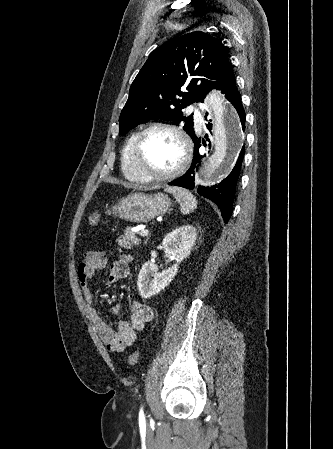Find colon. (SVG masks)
Segmentation results:
<instances>
[{
	"label": "colon",
	"instance_id": "5ec220e1",
	"mask_svg": "<svg viewBox=\"0 0 333 449\" xmlns=\"http://www.w3.org/2000/svg\"><path fill=\"white\" fill-rule=\"evenodd\" d=\"M100 221V214L99 213H93L89 216L88 218V224L90 226H96ZM140 354L138 351H133L132 353H130V355L128 356V364L131 366H134L137 364L138 360H139Z\"/></svg>",
	"mask_w": 333,
	"mask_h": 449
}]
</instances>
